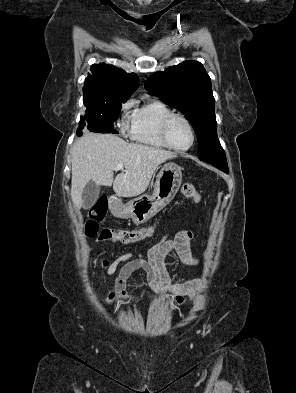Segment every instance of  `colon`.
<instances>
[{
    "label": "colon",
    "mask_w": 296,
    "mask_h": 393,
    "mask_svg": "<svg viewBox=\"0 0 296 393\" xmlns=\"http://www.w3.org/2000/svg\"><path fill=\"white\" fill-rule=\"evenodd\" d=\"M181 191L185 197L190 198L195 202H199L201 199V196L197 192L195 186L190 182L184 183ZM106 212L107 200L99 199L90 209L85 222V232L88 237L95 238L97 241L101 242L129 244L149 238L154 232L152 227H143L138 229L100 228L99 222L105 217Z\"/></svg>",
    "instance_id": "1"
}]
</instances>
